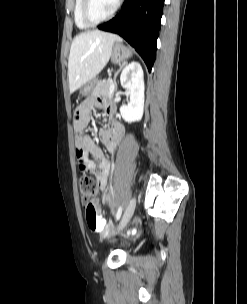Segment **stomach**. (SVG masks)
Listing matches in <instances>:
<instances>
[{"label": "stomach", "instance_id": "obj_1", "mask_svg": "<svg viewBox=\"0 0 247 304\" xmlns=\"http://www.w3.org/2000/svg\"><path fill=\"white\" fill-rule=\"evenodd\" d=\"M131 55V49L123 45L120 41H117L112 48L111 60L113 63H120L131 57ZM90 88V86L84 87L80 90V94L82 96H87L89 94Z\"/></svg>", "mask_w": 247, "mask_h": 304}]
</instances>
